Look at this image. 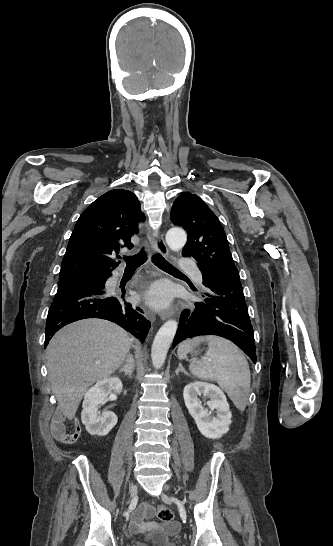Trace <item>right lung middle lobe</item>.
I'll use <instances>...</instances> for the list:
<instances>
[{
    "label": "right lung middle lobe",
    "mask_w": 333,
    "mask_h": 546,
    "mask_svg": "<svg viewBox=\"0 0 333 546\" xmlns=\"http://www.w3.org/2000/svg\"><path fill=\"white\" fill-rule=\"evenodd\" d=\"M107 278L108 276L106 275H99L84 278L60 280L58 283V292L84 287L104 288Z\"/></svg>",
    "instance_id": "1"
}]
</instances>
